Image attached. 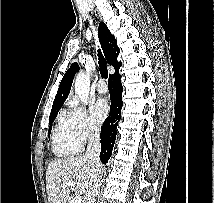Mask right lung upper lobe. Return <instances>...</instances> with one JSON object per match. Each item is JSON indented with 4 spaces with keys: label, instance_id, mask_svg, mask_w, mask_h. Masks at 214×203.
<instances>
[{
    "label": "right lung upper lobe",
    "instance_id": "right-lung-upper-lobe-1",
    "mask_svg": "<svg viewBox=\"0 0 214 203\" xmlns=\"http://www.w3.org/2000/svg\"><path fill=\"white\" fill-rule=\"evenodd\" d=\"M98 35L100 43L105 54L107 63L112 65L115 69V73L118 72L121 62H117V57L119 55L120 49L117 46L115 37L111 34L105 23L101 22L98 28ZM79 69L78 64L73 63L70 68L65 73L63 79L60 82L58 92L53 102L50 116L58 113L61 106L65 102L69 95L70 88L73 82V78Z\"/></svg>",
    "mask_w": 214,
    "mask_h": 203
}]
</instances>
